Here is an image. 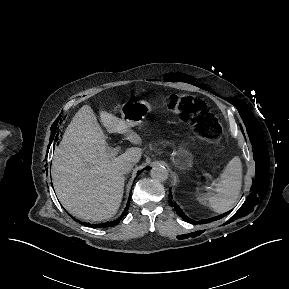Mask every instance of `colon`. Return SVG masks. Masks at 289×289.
Segmentation results:
<instances>
[{"mask_svg":"<svg viewBox=\"0 0 289 289\" xmlns=\"http://www.w3.org/2000/svg\"><path fill=\"white\" fill-rule=\"evenodd\" d=\"M168 101L174 111L191 124L197 135L207 141H217L220 135L219 129L202 99L186 95H171Z\"/></svg>","mask_w":289,"mask_h":289,"instance_id":"colon-1","label":"colon"}]
</instances>
